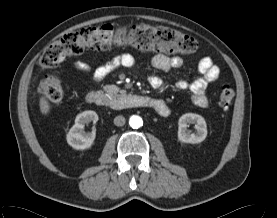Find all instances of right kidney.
<instances>
[{
  "mask_svg": "<svg viewBox=\"0 0 277 218\" xmlns=\"http://www.w3.org/2000/svg\"><path fill=\"white\" fill-rule=\"evenodd\" d=\"M98 115L95 111H84L76 116L75 124L71 127L67 134V143L76 150L88 149L92 146L96 132L93 130L90 133L84 131L85 124L90 122L96 123Z\"/></svg>",
  "mask_w": 277,
  "mask_h": 218,
  "instance_id": "1",
  "label": "right kidney"
}]
</instances>
